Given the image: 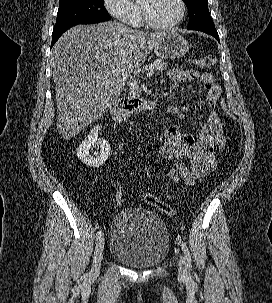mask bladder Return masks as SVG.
<instances>
[{
	"label": "bladder",
	"mask_w": 272,
	"mask_h": 303,
	"mask_svg": "<svg viewBox=\"0 0 272 303\" xmlns=\"http://www.w3.org/2000/svg\"><path fill=\"white\" fill-rule=\"evenodd\" d=\"M169 232L164 221L147 209L119 211L110 225L112 258L134 269H149L163 262L169 252Z\"/></svg>",
	"instance_id": "bladder-1"
}]
</instances>
